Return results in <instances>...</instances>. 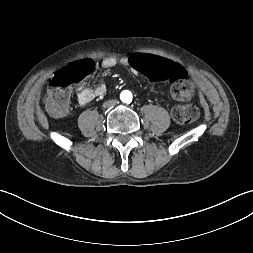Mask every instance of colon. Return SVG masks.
<instances>
[{
    "label": "colon",
    "instance_id": "1",
    "mask_svg": "<svg viewBox=\"0 0 253 253\" xmlns=\"http://www.w3.org/2000/svg\"><path fill=\"white\" fill-rule=\"evenodd\" d=\"M130 69L136 74L160 82L171 84L172 96L182 102L190 100L193 96V87L187 81V73L183 66L176 61H166L158 57H149L145 53H136L129 60ZM93 65L85 61L70 65L58 72L51 79L47 106L51 113L63 115L68 109L69 88L84 81L92 72ZM172 118L179 124H188L199 116V110L191 104L175 106L172 109Z\"/></svg>",
    "mask_w": 253,
    "mask_h": 253
}]
</instances>
